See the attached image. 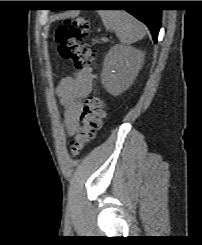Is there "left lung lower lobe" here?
<instances>
[{
    "label": "left lung lower lobe",
    "mask_w": 202,
    "mask_h": 245,
    "mask_svg": "<svg viewBox=\"0 0 202 245\" xmlns=\"http://www.w3.org/2000/svg\"><path fill=\"white\" fill-rule=\"evenodd\" d=\"M103 2V5H109L111 3V1ZM128 3H131L132 5L136 6H147L151 4L150 1H128ZM125 11L132 14L134 17L143 22L149 28L153 40L156 43L158 32L161 27V10L152 8H131L126 9Z\"/></svg>",
    "instance_id": "1"
}]
</instances>
